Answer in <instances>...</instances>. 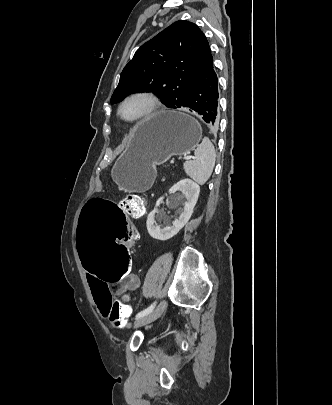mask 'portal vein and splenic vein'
<instances>
[{"mask_svg": "<svg viewBox=\"0 0 332 405\" xmlns=\"http://www.w3.org/2000/svg\"><path fill=\"white\" fill-rule=\"evenodd\" d=\"M184 159H185V160H190V159H191V157H185Z\"/></svg>", "mask_w": 332, "mask_h": 405, "instance_id": "18ae733b", "label": "portal vein and splenic vein"}]
</instances>
